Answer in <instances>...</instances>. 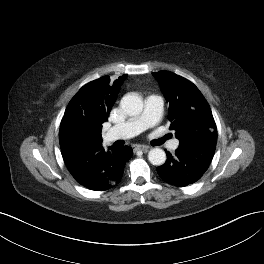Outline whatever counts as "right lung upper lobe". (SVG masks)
<instances>
[{"instance_id":"right-lung-upper-lobe-1","label":"right lung upper lobe","mask_w":264,"mask_h":264,"mask_svg":"<svg viewBox=\"0 0 264 264\" xmlns=\"http://www.w3.org/2000/svg\"><path fill=\"white\" fill-rule=\"evenodd\" d=\"M127 76H120L115 81H111L108 76L101 77L77 92L68 104L61 122V149L102 141V124L107 120Z\"/></svg>"}]
</instances>
